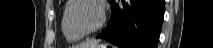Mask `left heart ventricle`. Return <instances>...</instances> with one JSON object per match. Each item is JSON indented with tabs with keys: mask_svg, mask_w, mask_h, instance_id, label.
<instances>
[{
	"mask_svg": "<svg viewBox=\"0 0 213 48\" xmlns=\"http://www.w3.org/2000/svg\"><path fill=\"white\" fill-rule=\"evenodd\" d=\"M100 17L99 7L95 3L88 1L76 4L71 13L72 22L81 30H90L96 27Z\"/></svg>",
	"mask_w": 213,
	"mask_h": 48,
	"instance_id": "left-heart-ventricle-1",
	"label": "left heart ventricle"
}]
</instances>
